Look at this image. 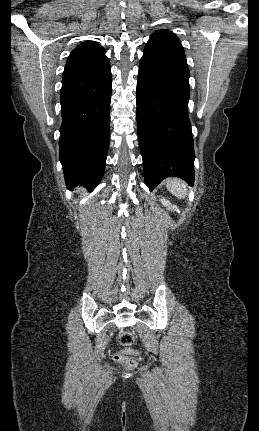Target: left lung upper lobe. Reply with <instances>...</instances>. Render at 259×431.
Returning a JSON list of instances; mask_svg holds the SVG:
<instances>
[{"mask_svg":"<svg viewBox=\"0 0 259 431\" xmlns=\"http://www.w3.org/2000/svg\"><path fill=\"white\" fill-rule=\"evenodd\" d=\"M150 40L163 43L177 51L184 53L183 47L177 36L168 30H159L151 34Z\"/></svg>","mask_w":259,"mask_h":431,"instance_id":"1","label":"left lung upper lobe"}]
</instances>
